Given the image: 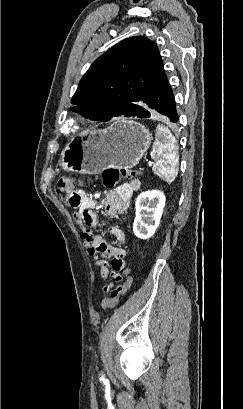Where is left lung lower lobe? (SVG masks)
<instances>
[{"instance_id": "obj_1", "label": "left lung lower lobe", "mask_w": 243, "mask_h": 409, "mask_svg": "<svg viewBox=\"0 0 243 409\" xmlns=\"http://www.w3.org/2000/svg\"><path fill=\"white\" fill-rule=\"evenodd\" d=\"M118 113H108L100 119L106 122L112 117L120 116ZM156 113L167 117L171 122L178 121L176 104L172 89L167 81V76L157 85L147 91L137 102L124 107L122 115L126 117L137 116L140 118H149Z\"/></svg>"}]
</instances>
